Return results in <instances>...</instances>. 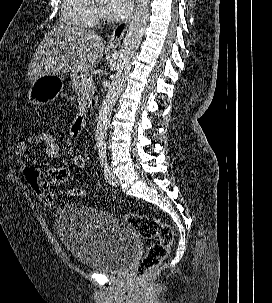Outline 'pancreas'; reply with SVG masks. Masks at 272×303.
I'll return each mask as SVG.
<instances>
[{"label":"pancreas","instance_id":"obj_1","mask_svg":"<svg viewBox=\"0 0 272 303\" xmlns=\"http://www.w3.org/2000/svg\"><path fill=\"white\" fill-rule=\"evenodd\" d=\"M85 76H88V74L82 73L80 75H74L72 78V89L77 93L79 105L81 107H86L95 92L94 85H82V78Z\"/></svg>","mask_w":272,"mask_h":303}]
</instances>
